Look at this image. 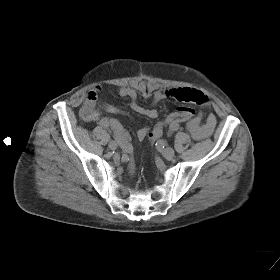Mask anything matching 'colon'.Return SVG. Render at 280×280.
Wrapping results in <instances>:
<instances>
[{"mask_svg": "<svg viewBox=\"0 0 280 280\" xmlns=\"http://www.w3.org/2000/svg\"><path fill=\"white\" fill-rule=\"evenodd\" d=\"M194 115V110L188 106L179 107L175 112L169 114L162 122L157 123L149 132L148 138L151 143L157 141L166 127L174 122H185Z\"/></svg>", "mask_w": 280, "mask_h": 280, "instance_id": "1", "label": "colon"}]
</instances>
